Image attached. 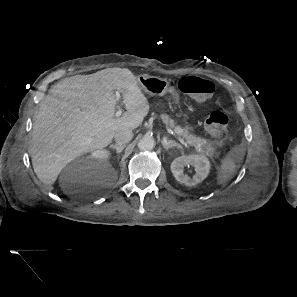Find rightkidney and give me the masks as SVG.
I'll list each match as a JSON object with an SVG mask.
<instances>
[{
	"label": "right kidney",
	"instance_id": "1",
	"mask_svg": "<svg viewBox=\"0 0 297 297\" xmlns=\"http://www.w3.org/2000/svg\"><path fill=\"white\" fill-rule=\"evenodd\" d=\"M91 158L99 161H107L110 158V152L108 150H95L91 154Z\"/></svg>",
	"mask_w": 297,
	"mask_h": 297
}]
</instances>
